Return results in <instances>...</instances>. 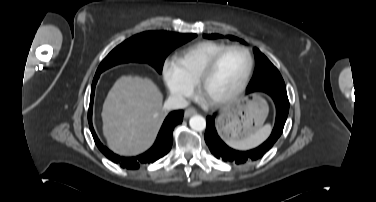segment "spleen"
I'll return each instance as SVG.
<instances>
[{
    "label": "spleen",
    "mask_w": 376,
    "mask_h": 202,
    "mask_svg": "<svg viewBox=\"0 0 376 202\" xmlns=\"http://www.w3.org/2000/svg\"><path fill=\"white\" fill-rule=\"evenodd\" d=\"M270 132H271V126L269 124H266L257 132L248 136L247 138H244L239 141L228 142V145L234 149H239V150L252 149V148L259 146L261 143H263L270 135Z\"/></svg>",
    "instance_id": "spleen-1"
}]
</instances>
